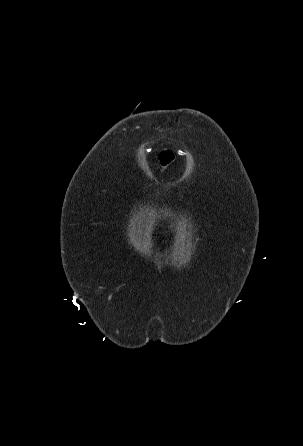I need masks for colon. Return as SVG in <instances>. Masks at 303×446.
I'll list each match as a JSON object with an SVG mask.
<instances>
[{
    "mask_svg": "<svg viewBox=\"0 0 303 446\" xmlns=\"http://www.w3.org/2000/svg\"><path fill=\"white\" fill-rule=\"evenodd\" d=\"M174 160H175V156H174L173 152H171V151H165L159 155V162H160V166H161L162 170L167 168V166L170 163L174 162Z\"/></svg>",
    "mask_w": 303,
    "mask_h": 446,
    "instance_id": "colon-1",
    "label": "colon"
}]
</instances>
